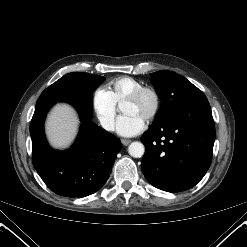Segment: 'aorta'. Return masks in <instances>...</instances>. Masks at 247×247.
Wrapping results in <instances>:
<instances>
[{"instance_id":"obj_1","label":"aorta","mask_w":247,"mask_h":247,"mask_svg":"<svg viewBox=\"0 0 247 247\" xmlns=\"http://www.w3.org/2000/svg\"><path fill=\"white\" fill-rule=\"evenodd\" d=\"M129 154L134 158H140L144 155L145 147L141 142H132L128 147Z\"/></svg>"}]
</instances>
